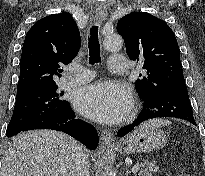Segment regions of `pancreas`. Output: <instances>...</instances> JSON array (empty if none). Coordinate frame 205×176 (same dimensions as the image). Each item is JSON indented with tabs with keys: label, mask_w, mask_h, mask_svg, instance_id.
I'll return each instance as SVG.
<instances>
[{
	"label": "pancreas",
	"mask_w": 205,
	"mask_h": 176,
	"mask_svg": "<svg viewBox=\"0 0 205 176\" xmlns=\"http://www.w3.org/2000/svg\"><path fill=\"white\" fill-rule=\"evenodd\" d=\"M159 170L158 167H155V162L148 163L144 168L140 171V176H153V173H156Z\"/></svg>",
	"instance_id": "pancreas-1"
}]
</instances>
